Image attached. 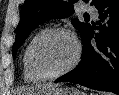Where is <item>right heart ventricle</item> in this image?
I'll list each match as a JSON object with an SVG mask.
<instances>
[{
    "label": "right heart ventricle",
    "instance_id": "obj_1",
    "mask_svg": "<svg viewBox=\"0 0 119 95\" xmlns=\"http://www.w3.org/2000/svg\"><path fill=\"white\" fill-rule=\"evenodd\" d=\"M47 30H49V28L46 27V28L40 29L37 33H35L32 36V38L29 40V42L27 43L23 51V55H22L23 75H24V79L27 82H39L43 80L41 77L36 75L31 69L30 63H29V52H30L32 44L37 39V37L40 36L42 33H44Z\"/></svg>",
    "mask_w": 119,
    "mask_h": 95
}]
</instances>
